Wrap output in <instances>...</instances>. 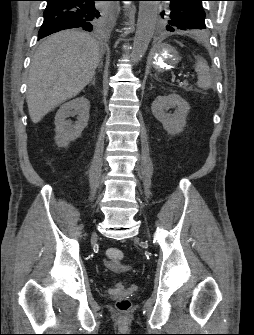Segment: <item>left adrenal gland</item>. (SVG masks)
<instances>
[{
  "label": "left adrenal gland",
  "instance_id": "a2214340",
  "mask_svg": "<svg viewBox=\"0 0 254 335\" xmlns=\"http://www.w3.org/2000/svg\"><path fill=\"white\" fill-rule=\"evenodd\" d=\"M150 86H151V88H150V89H152V88H153L152 84H150Z\"/></svg>",
  "mask_w": 254,
  "mask_h": 335
}]
</instances>
